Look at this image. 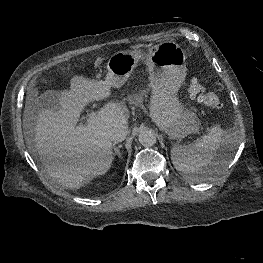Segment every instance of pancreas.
Returning a JSON list of instances; mask_svg holds the SVG:
<instances>
[{"label":"pancreas","mask_w":263,"mask_h":263,"mask_svg":"<svg viewBox=\"0 0 263 263\" xmlns=\"http://www.w3.org/2000/svg\"><path fill=\"white\" fill-rule=\"evenodd\" d=\"M143 98H144V93L134 94L128 97L129 101L135 105H141Z\"/></svg>","instance_id":"1"}]
</instances>
